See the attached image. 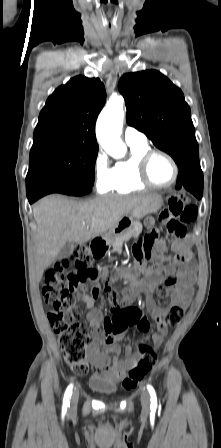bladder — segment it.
I'll return each mask as SVG.
<instances>
[{
  "instance_id": "bladder-1",
  "label": "bladder",
  "mask_w": 221,
  "mask_h": 448,
  "mask_svg": "<svg viewBox=\"0 0 221 448\" xmlns=\"http://www.w3.org/2000/svg\"><path fill=\"white\" fill-rule=\"evenodd\" d=\"M88 386L101 397H111L118 391L117 383L99 375H91L88 379Z\"/></svg>"
}]
</instances>
